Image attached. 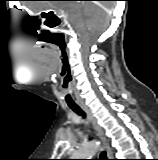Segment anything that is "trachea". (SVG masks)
<instances>
[{"label":"trachea","mask_w":158,"mask_h":160,"mask_svg":"<svg viewBox=\"0 0 158 160\" xmlns=\"http://www.w3.org/2000/svg\"><path fill=\"white\" fill-rule=\"evenodd\" d=\"M69 107L78 115L83 116L85 118L84 112L77 105H69ZM101 160H108L106 153H101Z\"/></svg>","instance_id":"trachea-1"}]
</instances>
